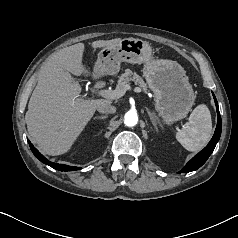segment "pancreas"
I'll list each match as a JSON object with an SVG mask.
<instances>
[{
	"label": "pancreas",
	"instance_id": "1",
	"mask_svg": "<svg viewBox=\"0 0 238 238\" xmlns=\"http://www.w3.org/2000/svg\"><path fill=\"white\" fill-rule=\"evenodd\" d=\"M129 81H134L136 85L140 87L143 91H147V85L144 80L135 72H132L130 69H127L118 80L116 89L122 90L126 85H129Z\"/></svg>",
	"mask_w": 238,
	"mask_h": 238
}]
</instances>
